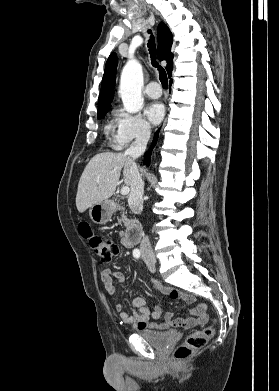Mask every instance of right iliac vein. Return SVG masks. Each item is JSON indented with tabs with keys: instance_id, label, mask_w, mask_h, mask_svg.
I'll return each instance as SVG.
<instances>
[{
	"instance_id": "obj_1",
	"label": "right iliac vein",
	"mask_w": 279,
	"mask_h": 391,
	"mask_svg": "<svg viewBox=\"0 0 279 391\" xmlns=\"http://www.w3.org/2000/svg\"><path fill=\"white\" fill-rule=\"evenodd\" d=\"M145 261L148 265H155L156 260L153 257H146Z\"/></svg>"
}]
</instances>
